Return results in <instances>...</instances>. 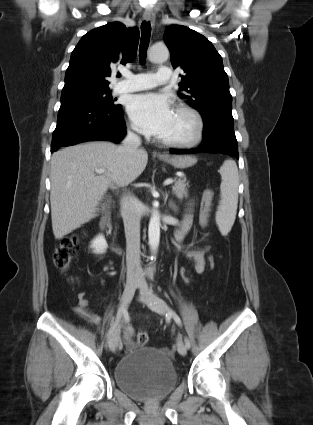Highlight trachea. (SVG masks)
<instances>
[{
	"label": "trachea",
	"mask_w": 313,
	"mask_h": 425,
	"mask_svg": "<svg viewBox=\"0 0 313 425\" xmlns=\"http://www.w3.org/2000/svg\"><path fill=\"white\" fill-rule=\"evenodd\" d=\"M141 29H142V35H141L140 47H139V58H140V62L144 63L146 59V52L149 46L150 35H151L150 22L143 21L141 24Z\"/></svg>",
	"instance_id": "3493384b"
}]
</instances>
